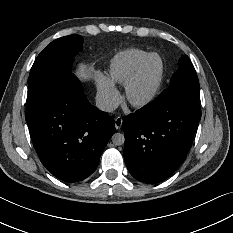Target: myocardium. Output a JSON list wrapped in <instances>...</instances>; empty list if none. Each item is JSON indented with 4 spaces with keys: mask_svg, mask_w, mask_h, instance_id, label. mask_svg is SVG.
<instances>
[{
    "mask_svg": "<svg viewBox=\"0 0 233 233\" xmlns=\"http://www.w3.org/2000/svg\"><path fill=\"white\" fill-rule=\"evenodd\" d=\"M155 56H159L163 60V71H162V75L160 77V80H159L153 94L149 98H147L145 100H136L132 96V89H133L134 85L137 83V81L140 79L141 75L143 74V72L145 71L147 66L149 65L151 59ZM167 71H168V68H167V63H166L164 56L159 52L150 53L145 58V60L142 62V64L136 69V71L128 78V80L124 84L126 99L134 107H137L140 109L146 108V107L150 106L151 104H153L154 102H156L163 91L166 77H167Z\"/></svg>",
    "mask_w": 233,
    "mask_h": 233,
    "instance_id": "myocardium-1",
    "label": "myocardium"
}]
</instances>
